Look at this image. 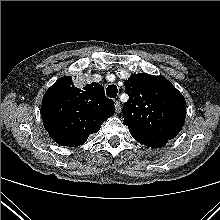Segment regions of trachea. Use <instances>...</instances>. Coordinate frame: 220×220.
Returning a JSON list of instances; mask_svg holds the SVG:
<instances>
[{"label": "trachea", "mask_w": 220, "mask_h": 220, "mask_svg": "<svg viewBox=\"0 0 220 220\" xmlns=\"http://www.w3.org/2000/svg\"><path fill=\"white\" fill-rule=\"evenodd\" d=\"M118 89L115 85H109L106 89V94L110 98H116Z\"/></svg>", "instance_id": "trachea-1"}]
</instances>
